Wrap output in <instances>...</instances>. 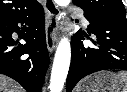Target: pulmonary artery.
<instances>
[{
	"label": "pulmonary artery",
	"mask_w": 127,
	"mask_h": 92,
	"mask_svg": "<svg viewBox=\"0 0 127 92\" xmlns=\"http://www.w3.org/2000/svg\"><path fill=\"white\" fill-rule=\"evenodd\" d=\"M78 14H79V17H80L82 23L87 24V19L85 18L83 12L79 11Z\"/></svg>",
	"instance_id": "1"
}]
</instances>
